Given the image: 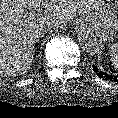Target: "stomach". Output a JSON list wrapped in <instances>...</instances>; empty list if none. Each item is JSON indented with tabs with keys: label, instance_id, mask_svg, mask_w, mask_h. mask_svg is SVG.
Wrapping results in <instances>:
<instances>
[{
	"label": "stomach",
	"instance_id": "0dacf381",
	"mask_svg": "<svg viewBox=\"0 0 118 118\" xmlns=\"http://www.w3.org/2000/svg\"><path fill=\"white\" fill-rule=\"evenodd\" d=\"M104 41H111L118 31V18L108 4H102L94 12L91 20L83 19Z\"/></svg>",
	"mask_w": 118,
	"mask_h": 118
}]
</instances>
